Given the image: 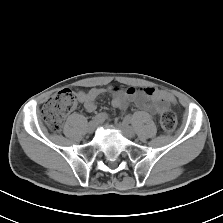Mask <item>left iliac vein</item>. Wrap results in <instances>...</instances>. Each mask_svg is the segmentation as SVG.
Wrapping results in <instances>:
<instances>
[{
    "instance_id": "4c4485c4",
    "label": "left iliac vein",
    "mask_w": 223,
    "mask_h": 223,
    "mask_svg": "<svg viewBox=\"0 0 223 223\" xmlns=\"http://www.w3.org/2000/svg\"><path fill=\"white\" fill-rule=\"evenodd\" d=\"M118 128L121 130V132L124 134V136L129 139H131L135 136L134 129L125 120L118 124Z\"/></svg>"
}]
</instances>
